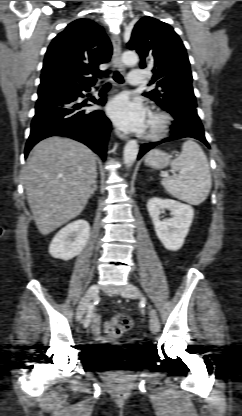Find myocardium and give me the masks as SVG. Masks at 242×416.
<instances>
[{
    "mask_svg": "<svg viewBox=\"0 0 242 416\" xmlns=\"http://www.w3.org/2000/svg\"><path fill=\"white\" fill-rule=\"evenodd\" d=\"M171 124V116L161 110H152L148 115V122L144 131L147 139H158L164 136Z\"/></svg>",
    "mask_w": 242,
    "mask_h": 416,
    "instance_id": "1",
    "label": "myocardium"
}]
</instances>
